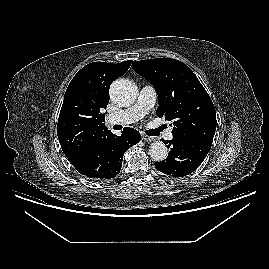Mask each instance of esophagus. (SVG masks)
<instances>
[{
  "instance_id": "obj_1",
  "label": "esophagus",
  "mask_w": 269,
  "mask_h": 269,
  "mask_svg": "<svg viewBox=\"0 0 269 269\" xmlns=\"http://www.w3.org/2000/svg\"><path fill=\"white\" fill-rule=\"evenodd\" d=\"M141 137H142V139H143L144 141H147V142H151V141H154V140H155L153 137L148 136V135H146V134H142Z\"/></svg>"
}]
</instances>
